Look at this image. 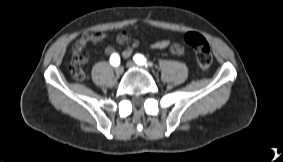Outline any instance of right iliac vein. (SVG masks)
I'll return each instance as SVG.
<instances>
[{"label":"right iliac vein","mask_w":283,"mask_h":162,"mask_svg":"<svg viewBox=\"0 0 283 162\" xmlns=\"http://www.w3.org/2000/svg\"><path fill=\"white\" fill-rule=\"evenodd\" d=\"M123 67H121V66H119V67H116L115 68V74L117 75V76H120L122 73H123Z\"/></svg>","instance_id":"right-iliac-vein-1"}]
</instances>
